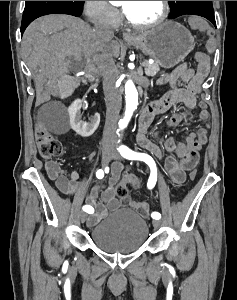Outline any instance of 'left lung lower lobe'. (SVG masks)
<instances>
[{"instance_id": "0a47b994", "label": "left lung lower lobe", "mask_w": 237, "mask_h": 300, "mask_svg": "<svg viewBox=\"0 0 237 300\" xmlns=\"http://www.w3.org/2000/svg\"><path fill=\"white\" fill-rule=\"evenodd\" d=\"M203 17H205L206 19L211 21L214 24V26L216 27L214 14H204Z\"/></svg>"}]
</instances>
